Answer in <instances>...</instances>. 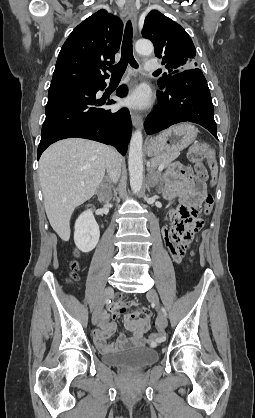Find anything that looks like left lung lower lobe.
Masks as SVG:
<instances>
[{
    "label": "left lung lower lobe",
    "instance_id": "1",
    "mask_svg": "<svg viewBox=\"0 0 255 418\" xmlns=\"http://www.w3.org/2000/svg\"><path fill=\"white\" fill-rule=\"evenodd\" d=\"M157 96L160 100L158 108L148 116L144 124L147 134L189 121L203 126L218 139L210 91L199 68L173 75L169 84Z\"/></svg>",
    "mask_w": 255,
    "mask_h": 418
}]
</instances>
